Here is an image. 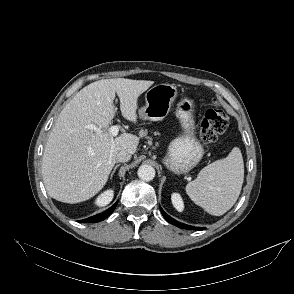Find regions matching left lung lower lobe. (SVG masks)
<instances>
[{"mask_svg": "<svg viewBox=\"0 0 294 294\" xmlns=\"http://www.w3.org/2000/svg\"><path fill=\"white\" fill-rule=\"evenodd\" d=\"M160 210H161V212H162V215L165 217V219H166L169 223H171V224H173V225H175V226H177V227H179V228L189 229V230H203V229H204V228H201V227H192V226H188V225H185V224H183V223H180V222L174 220L173 218H171L169 215H167V214L162 210V208H160Z\"/></svg>", "mask_w": 294, "mask_h": 294, "instance_id": "1", "label": "left lung lower lobe"}]
</instances>
